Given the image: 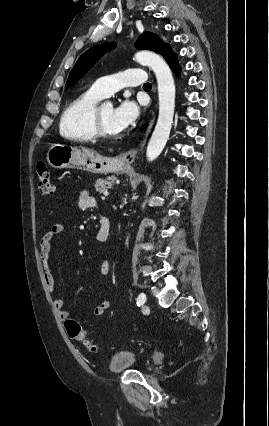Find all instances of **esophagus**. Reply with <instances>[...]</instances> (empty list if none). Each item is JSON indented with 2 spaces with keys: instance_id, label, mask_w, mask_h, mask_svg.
<instances>
[{
  "instance_id": "obj_1",
  "label": "esophagus",
  "mask_w": 269,
  "mask_h": 426,
  "mask_svg": "<svg viewBox=\"0 0 269 426\" xmlns=\"http://www.w3.org/2000/svg\"><path fill=\"white\" fill-rule=\"evenodd\" d=\"M154 119H155V117H153V119L150 121V124H149V126H148V128H147V130L145 132L144 139L140 143L139 147L135 148V149H131V150L127 151V152L121 153L118 156V159H119L120 162H122L123 164H126V165H131L134 162L135 157H136L138 151L140 149H142L143 146L145 145L146 139H147V137H148V135H149V133H150V131L152 129L153 124H154Z\"/></svg>"
}]
</instances>
